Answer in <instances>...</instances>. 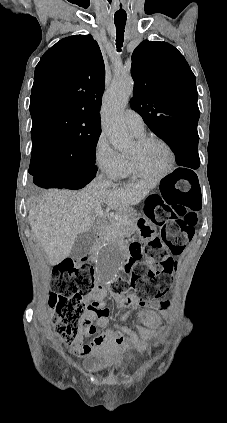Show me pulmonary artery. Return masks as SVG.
I'll return each mask as SVG.
<instances>
[{
    "instance_id": "1",
    "label": "pulmonary artery",
    "mask_w": 227,
    "mask_h": 423,
    "mask_svg": "<svg viewBox=\"0 0 227 423\" xmlns=\"http://www.w3.org/2000/svg\"><path fill=\"white\" fill-rule=\"evenodd\" d=\"M124 120L128 129L136 136L145 133L143 118L134 110L127 109L124 114Z\"/></svg>"
}]
</instances>
